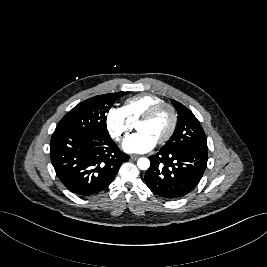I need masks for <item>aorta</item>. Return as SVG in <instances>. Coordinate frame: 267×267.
Masks as SVG:
<instances>
[{
  "instance_id": "aorta-1",
  "label": "aorta",
  "mask_w": 267,
  "mask_h": 267,
  "mask_svg": "<svg viewBox=\"0 0 267 267\" xmlns=\"http://www.w3.org/2000/svg\"><path fill=\"white\" fill-rule=\"evenodd\" d=\"M137 166L141 170H147L150 167V161L148 158L141 157L137 161Z\"/></svg>"
}]
</instances>
